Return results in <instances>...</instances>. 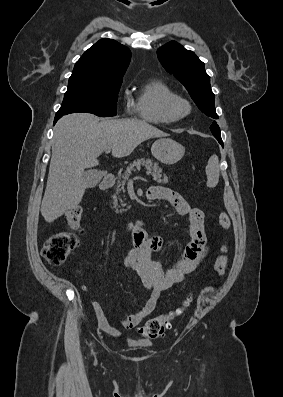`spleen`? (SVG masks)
Here are the masks:
<instances>
[{"instance_id":"obj_1","label":"spleen","mask_w":283,"mask_h":397,"mask_svg":"<svg viewBox=\"0 0 283 397\" xmlns=\"http://www.w3.org/2000/svg\"><path fill=\"white\" fill-rule=\"evenodd\" d=\"M219 159L217 155H212L206 166V175H207V186L210 188H214L219 181Z\"/></svg>"}]
</instances>
